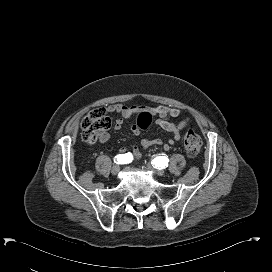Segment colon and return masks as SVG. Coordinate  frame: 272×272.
Returning <instances> with one entry per match:
<instances>
[{"label": "colon", "instance_id": "obj_1", "mask_svg": "<svg viewBox=\"0 0 272 272\" xmlns=\"http://www.w3.org/2000/svg\"><path fill=\"white\" fill-rule=\"evenodd\" d=\"M149 114L143 113L139 115L137 122L146 124L149 122ZM111 126V120L107 115L105 108H95L91 110L81 120V136L82 139L93 144L102 132L108 130ZM184 150L188 157L195 158L201 149V138L193 130L187 131L183 140Z\"/></svg>", "mask_w": 272, "mask_h": 272}]
</instances>
